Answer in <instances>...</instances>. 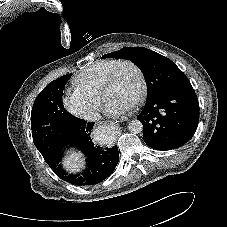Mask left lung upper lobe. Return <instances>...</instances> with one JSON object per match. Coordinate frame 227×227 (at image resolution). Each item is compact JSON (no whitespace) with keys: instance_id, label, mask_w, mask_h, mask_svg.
Returning a JSON list of instances; mask_svg holds the SVG:
<instances>
[{"instance_id":"1","label":"left lung upper lobe","mask_w":227,"mask_h":227,"mask_svg":"<svg viewBox=\"0 0 227 227\" xmlns=\"http://www.w3.org/2000/svg\"><path fill=\"white\" fill-rule=\"evenodd\" d=\"M107 57L129 59L141 69L147 84V100L172 89L191 85L170 59L147 48L125 47L103 56Z\"/></svg>"}]
</instances>
